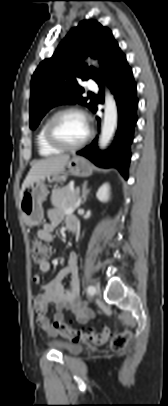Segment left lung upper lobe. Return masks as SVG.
Instances as JSON below:
<instances>
[{"label":"left lung upper lobe","instance_id":"1","mask_svg":"<svg viewBox=\"0 0 168 406\" xmlns=\"http://www.w3.org/2000/svg\"><path fill=\"white\" fill-rule=\"evenodd\" d=\"M112 32L95 20H84L67 34L53 56L40 63L31 80L30 128L35 129L43 116L60 104L80 103L93 110L94 102L82 97L78 80L92 78L97 83L101 73L81 62L88 55L98 58L103 72L120 52Z\"/></svg>","mask_w":168,"mask_h":406}]
</instances>
